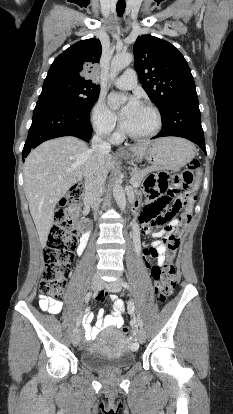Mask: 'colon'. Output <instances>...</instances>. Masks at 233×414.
Here are the masks:
<instances>
[{
	"mask_svg": "<svg viewBox=\"0 0 233 414\" xmlns=\"http://www.w3.org/2000/svg\"><path fill=\"white\" fill-rule=\"evenodd\" d=\"M200 170V162L193 159L182 174L160 171L149 175L144 182V191L152 199L147 210L158 223L161 221L160 216L164 210H167L164 215L169 217L178 214L179 229L168 236L163 244L166 261L161 268L153 267L151 270V274L156 280L157 300L162 304L172 295L177 283V272L173 259L179 247L181 229L191 219L192 208L197 198L194 188V174ZM83 195V185L76 184L61 200L46 242L45 268L40 291L55 300L61 298L64 293L70 267L74 260L76 238L71 228L74 226L78 214L76 203ZM122 330L126 335L131 332L129 326H124Z\"/></svg>",
	"mask_w": 233,
	"mask_h": 414,
	"instance_id": "colon-1",
	"label": "colon"
}]
</instances>
